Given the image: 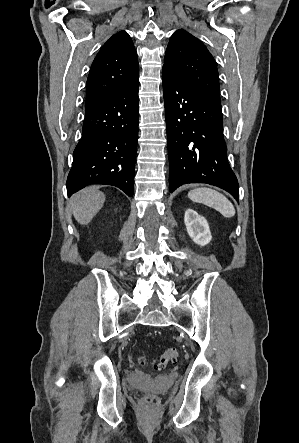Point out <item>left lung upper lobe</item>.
Returning <instances> with one entry per match:
<instances>
[{"label": "left lung upper lobe", "mask_w": 299, "mask_h": 443, "mask_svg": "<svg viewBox=\"0 0 299 443\" xmlns=\"http://www.w3.org/2000/svg\"><path fill=\"white\" fill-rule=\"evenodd\" d=\"M163 69L220 104V85L216 63L205 45L184 30L170 38Z\"/></svg>", "instance_id": "obj_1"}]
</instances>
